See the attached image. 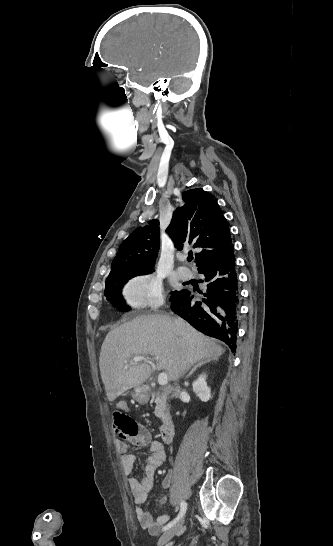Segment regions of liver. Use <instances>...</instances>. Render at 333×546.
<instances>
[{
	"label": "liver",
	"mask_w": 333,
	"mask_h": 546,
	"mask_svg": "<svg viewBox=\"0 0 333 546\" xmlns=\"http://www.w3.org/2000/svg\"><path fill=\"white\" fill-rule=\"evenodd\" d=\"M223 353L220 345L185 322L176 327L167 315H141L106 335L99 366L107 398L114 401L151 374L146 362L129 364L131 357L154 356L155 368L165 370L169 380L175 381L196 362L217 359Z\"/></svg>",
	"instance_id": "1"
}]
</instances>
